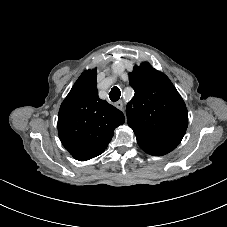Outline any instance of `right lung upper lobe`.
<instances>
[{
	"instance_id": "1",
	"label": "right lung upper lobe",
	"mask_w": 227,
	"mask_h": 227,
	"mask_svg": "<svg viewBox=\"0 0 227 227\" xmlns=\"http://www.w3.org/2000/svg\"><path fill=\"white\" fill-rule=\"evenodd\" d=\"M96 75V69L81 74L62 102L58 114L60 141L79 161L102 154L115 128L125 121L120 110L99 98Z\"/></svg>"
}]
</instances>
